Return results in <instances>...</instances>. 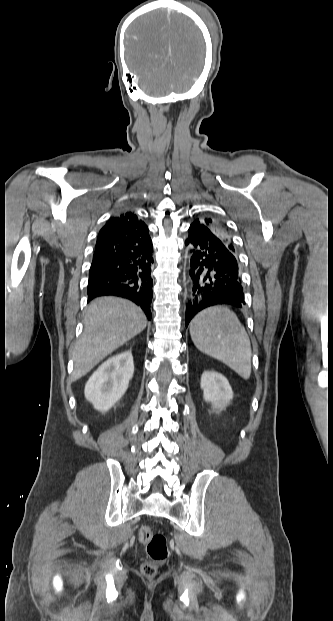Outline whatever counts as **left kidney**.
I'll use <instances>...</instances> for the list:
<instances>
[{
  "mask_svg": "<svg viewBox=\"0 0 333 621\" xmlns=\"http://www.w3.org/2000/svg\"><path fill=\"white\" fill-rule=\"evenodd\" d=\"M201 388L204 400L212 403L213 409L223 410L233 398V391L228 380L214 371H205L202 374Z\"/></svg>",
  "mask_w": 333,
  "mask_h": 621,
  "instance_id": "1",
  "label": "left kidney"
}]
</instances>
